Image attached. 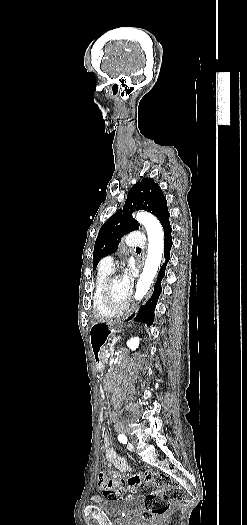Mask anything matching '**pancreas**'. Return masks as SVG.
Returning a JSON list of instances; mask_svg holds the SVG:
<instances>
[{
  "mask_svg": "<svg viewBox=\"0 0 247 525\" xmlns=\"http://www.w3.org/2000/svg\"><path fill=\"white\" fill-rule=\"evenodd\" d=\"M106 353H108V350L106 348H103L100 352L99 360L105 361L107 359Z\"/></svg>",
  "mask_w": 247,
  "mask_h": 525,
  "instance_id": "1",
  "label": "pancreas"
}]
</instances>
